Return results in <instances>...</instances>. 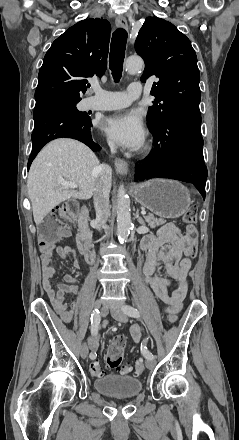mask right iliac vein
Returning <instances> with one entry per match:
<instances>
[{
	"mask_svg": "<svg viewBox=\"0 0 239 440\" xmlns=\"http://www.w3.org/2000/svg\"><path fill=\"white\" fill-rule=\"evenodd\" d=\"M96 305L98 306V303H97ZM107 313H108V308H107V306H103V307L101 308V316L104 317V316L107 315ZM80 355H81V357H82L83 359L87 358V356H88V347H87V344H86V343H83V344H82L81 349H80Z\"/></svg>",
	"mask_w": 239,
	"mask_h": 440,
	"instance_id": "right-iliac-vein-1",
	"label": "right iliac vein"
}]
</instances>
